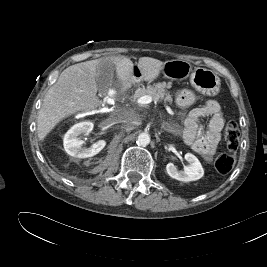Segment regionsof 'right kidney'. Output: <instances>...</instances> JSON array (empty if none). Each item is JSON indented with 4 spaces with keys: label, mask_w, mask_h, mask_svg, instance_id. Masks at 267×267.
I'll use <instances>...</instances> for the list:
<instances>
[{
    "label": "right kidney",
    "mask_w": 267,
    "mask_h": 267,
    "mask_svg": "<svg viewBox=\"0 0 267 267\" xmlns=\"http://www.w3.org/2000/svg\"><path fill=\"white\" fill-rule=\"evenodd\" d=\"M93 123L86 121L80 122L72 126L63 138L65 151L73 157L88 158L98 154L106 145L105 140H99L90 148L82 147L84 141L78 136L81 134H89L93 130Z\"/></svg>",
    "instance_id": "ca27d5eb"
}]
</instances>
